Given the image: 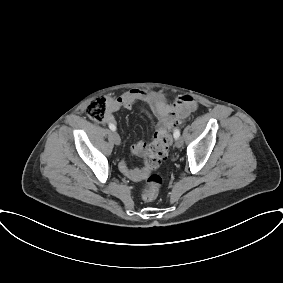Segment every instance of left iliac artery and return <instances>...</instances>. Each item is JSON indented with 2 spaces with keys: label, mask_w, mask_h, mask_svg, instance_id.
Segmentation results:
<instances>
[{
  "label": "left iliac artery",
  "mask_w": 283,
  "mask_h": 283,
  "mask_svg": "<svg viewBox=\"0 0 283 283\" xmlns=\"http://www.w3.org/2000/svg\"><path fill=\"white\" fill-rule=\"evenodd\" d=\"M174 138L176 139V138H178L179 136H180V130L179 129H176L175 131H174Z\"/></svg>",
  "instance_id": "obj_1"
}]
</instances>
